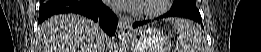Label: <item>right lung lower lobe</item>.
<instances>
[{"mask_svg": "<svg viewBox=\"0 0 261 52\" xmlns=\"http://www.w3.org/2000/svg\"><path fill=\"white\" fill-rule=\"evenodd\" d=\"M60 13L81 14L98 22L108 35H115L118 19L102 0H41L38 23Z\"/></svg>", "mask_w": 261, "mask_h": 52, "instance_id": "right-lung-lower-lobe-1", "label": "right lung lower lobe"}]
</instances>
